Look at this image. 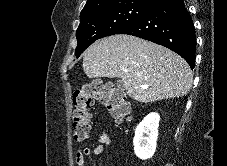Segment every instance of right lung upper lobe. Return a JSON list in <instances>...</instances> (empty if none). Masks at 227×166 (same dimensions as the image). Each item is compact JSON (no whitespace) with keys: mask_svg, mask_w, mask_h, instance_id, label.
<instances>
[{"mask_svg":"<svg viewBox=\"0 0 227 166\" xmlns=\"http://www.w3.org/2000/svg\"><path fill=\"white\" fill-rule=\"evenodd\" d=\"M160 1L161 0H87L86 5L81 11V14L95 11L108 6L130 3V2H137V3L154 6Z\"/></svg>","mask_w":227,"mask_h":166,"instance_id":"1","label":"right lung upper lobe"}]
</instances>
